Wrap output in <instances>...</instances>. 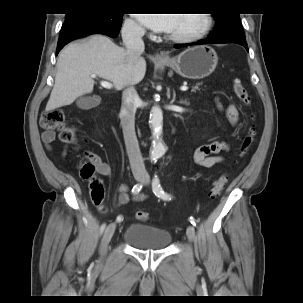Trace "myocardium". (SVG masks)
Listing matches in <instances>:
<instances>
[{
  "mask_svg": "<svg viewBox=\"0 0 303 303\" xmlns=\"http://www.w3.org/2000/svg\"><path fill=\"white\" fill-rule=\"evenodd\" d=\"M200 15L203 17V25L201 26V28L190 33H178V34L170 33L168 37L174 41L188 42V41L199 39L202 36H204L211 29L213 19H212V15L208 13H202Z\"/></svg>",
  "mask_w": 303,
  "mask_h": 303,
  "instance_id": "myocardium-1",
  "label": "myocardium"
}]
</instances>
